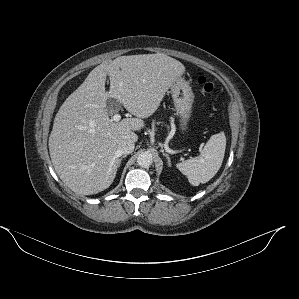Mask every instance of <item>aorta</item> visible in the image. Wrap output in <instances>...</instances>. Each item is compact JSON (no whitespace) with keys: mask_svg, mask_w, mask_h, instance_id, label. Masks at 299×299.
I'll return each instance as SVG.
<instances>
[{"mask_svg":"<svg viewBox=\"0 0 299 299\" xmlns=\"http://www.w3.org/2000/svg\"><path fill=\"white\" fill-rule=\"evenodd\" d=\"M137 163L142 168H148L153 163L152 154L149 152H142L137 157Z\"/></svg>","mask_w":299,"mask_h":299,"instance_id":"762f6f07","label":"aorta"}]
</instances>
